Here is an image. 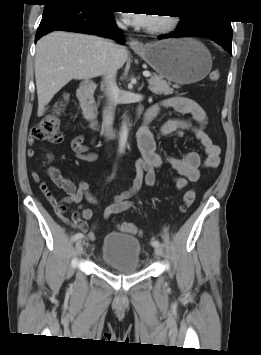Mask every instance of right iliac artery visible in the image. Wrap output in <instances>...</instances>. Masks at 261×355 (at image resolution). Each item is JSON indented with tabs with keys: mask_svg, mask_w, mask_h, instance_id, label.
Segmentation results:
<instances>
[{
	"mask_svg": "<svg viewBox=\"0 0 261 355\" xmlns=\"http://www.w3.org/2000/svg\"><path fill=\"white\" fill-rule=\"evenodd\" d=\"M82 238H84V235L82 233L78 232L73 236V241H77Z\"/></svg>",
	"mask_w": 261,
	"mask_h": 355,
	"instance_id": "82829eb1",
	"label": "right iliac artery"
}]
</instances>
